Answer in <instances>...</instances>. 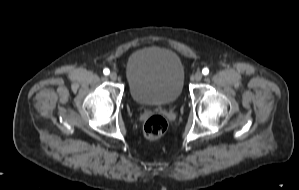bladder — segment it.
<instances>
[{"label": "bladder", "instance_id": "bladder-1", "mask_svg": "<svg viewBox=\"0 0 299 190\" xmlns=\"http://www.w3.org/2000/svg\"><path fill=\"white\" fill-rule=\"evenodd\" d=\"M124 76L135 102L166 105L181 95L185 68L175 50L154 45L140 48L128 58Z\"/></svg>", "mask_w": 299, "mask_h": 190}]
</instances>
